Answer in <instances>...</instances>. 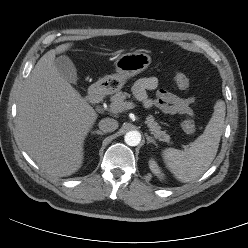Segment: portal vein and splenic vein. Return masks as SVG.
Listing matches in <instances>:
<instances>
[{
	"mask_svg": "<svg viewBox=\"0 0 248 248\" xmlns=\"http://www.w3.org/2000/svg\"><path fill=\"white\" fill-rule=\"evenodd\" d=\"M134 107V104L131 102H125L123 105V109H133ZM111 109L114 110L115 108L111 106Z\"/></svg>",
	"mask_w": 248,
	"mask_h": 248,
	"instance_id": "1",
	"label": "portal vein and splenic vein"
}]
</instances>
